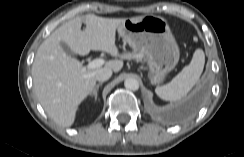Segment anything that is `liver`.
Returning <instances> with one entry per match:
<instances>
[{"instance_id": "obj_1", "label": "liver", "mask_w": 244, "mask_h": 157, "mask_svg": "<svg viewBox=\"0 0 244 157\" xmlns=\"http://www.w3.org/2000/svg\"><path fill=\"white\" fill-rule=\"evenodd\" d=\"M123 18H103L94 14L76 17L57 28L39 46L32 65L35 95L47 115L59 126L73 125L79 105L96 84L99 68L87 70L61 47L65 42L72 52L85 56L102 51L116 59L105 63L115 73L123 67L116 46V31ZM82 23L86 25L81 30Z\"/></svg>"}]
</instances>
